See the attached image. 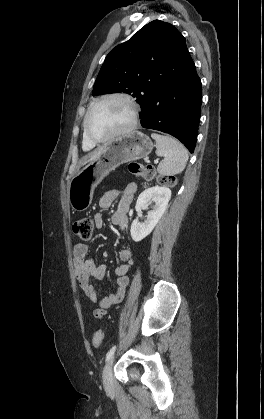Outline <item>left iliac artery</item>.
<instances>
[{"mask_svg":"<svg viewBox=\"0 0 264 419\" xmlns=\"http://www.w3.org/2000/svg\"><path fill=\"white\" fill-rule=\"evenodd\" d=\"M115 350H116V345L115 346H113L109 351H108V353L106 354V361H108L112 356H113V354H114V352H115Z\"/></svg>","mask_w":264,"mask_h":419,"instance_id":"44dca946","label":"left iliac artery"}]
</instances>
